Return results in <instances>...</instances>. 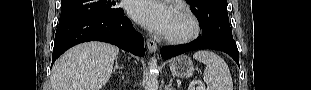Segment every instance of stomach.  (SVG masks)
<instances>
[{"label":"stomach","instance_id":"obj_1","mask_svg":"<svg viewBox=\"0 0 311 90\" xmlns=\"http://www.w3.org/2000/svg\"><path fill=\"white\" fill-rule=\"evenodd\" d=\"M194 70L193 62L185 55L175 58L170 64L172 75L180 78H189L193 75Z\"/></svg>","mask_w":311,"mask_h":90}]
</instances>
